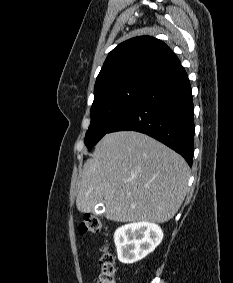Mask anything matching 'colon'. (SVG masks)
Listing matches in <instances>:
<instances>
[{
    "mask_svg": "<svg viewBox=\"0 0 233 283\" xmlns=\"http://www.w3.org/2000/svg\"><path fill=\"white\" fill-rule=\"evenodd\" d=\"M102 229L101 220L92 214H86L78 226L80 235L98 234ZM99 263L101 272L92 283H117L115 277V258L107 250L100 256Z\"/></svg>",
    "mask_w": 233,
    "mask_h": 283,
    "instance_id": "5ec220e1",
    "label": "colon"
}]
</instances>
